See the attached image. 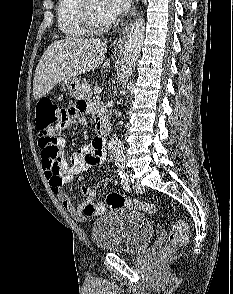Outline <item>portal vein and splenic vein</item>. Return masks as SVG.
<instances>
[{
  "label": "portal vein and splenic vein",
  "instance_id": "portal-vein-and-splenic-vein-1",
  "mask_svg": "<svg viewBox=\"0 0 233 294\" xmlns=\"http://www.w3.org/2000/svg\"><path fill=\"white\" fill-rule=\"evenodd\" d=\"M102 89L101 88H95L94 89V94L99 95L101 93Z\"/></svg>",
  "mask_w": 233,
  "mask_h": 294
}]
</instances>
